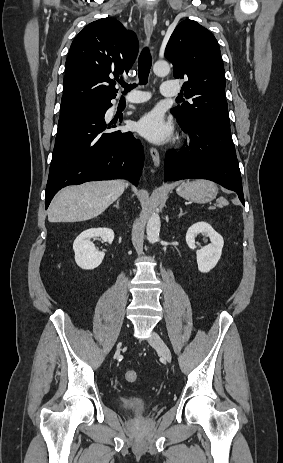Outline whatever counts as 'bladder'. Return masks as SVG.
<instances>
[{"label": "bladder", "mask_w": 283, "mask_h": 463, "mask_svg": "<svg viewBox=\"0 0 283 463\" xmlns=\"http://www.w3.org/2000/svg\"><path fill=\"white\" fill-rule=\"evenodd\" d=\"M119 405L126 412L141 414L150 408L151 401L139 397H123L120 399Z\"/></svg>", "instance_id": "1"}]
</instances>
